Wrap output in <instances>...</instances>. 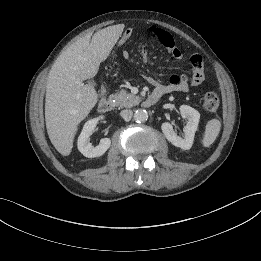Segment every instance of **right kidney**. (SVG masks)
Listing matches in <instances>:
<instances>
[{
    "label": "right kidney",
    "mask_w": 261,
    "mask_h": 261,
    "mask_svg": "<svg viewBox=\"0 0 261 261\" xmlns=\"http://www.w3.org/2000/svg\"><path fill=\"white\" fill-rule=\"evenodd\" d=\"M99 119H103V116L87 121L78 137V150L88 158L102 156L111 146V140L109 138L101 139L100 143L95 147L90 143V135L96 128Z\"/></svg>",
    "instance_id": "1"
}]
</instances>
